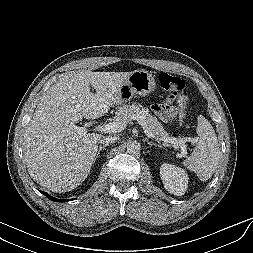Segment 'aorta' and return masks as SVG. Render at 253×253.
Masks as SVG:
<instances>
[{"instance_id":"1","label":"aorta","mask_w":253,"mask_h":253,"mask_svg":"<svg viewBox=\"0 0 253 253\" xmlns=\"http://www.w3.org/2000/svg\"><path fill=\"white\" fill-rule=\"evenodd\" d=\"M141 145L137 141H130L127 144V152L129 154H138L140 152Z\"/></svg>"}]
</instances>
